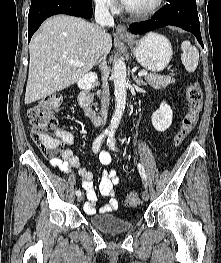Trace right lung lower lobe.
<instances>
[{
    "label": "right lung lower lobe",
    "mask_w": 221,
    "mask_h": 263,
    "mask_svg": "<svg viewBox=\"0 0 221 263\" xmlns=\"http://www.w3.org/2000/svg\"><path fill=\"white\" fill-rule=\"evenodd\" d=\"M56 14H68L90 19L91 0H32L28 14V42L41 23Z\"/></svg>",
    "instance_id": "1"
}]
</instances>
